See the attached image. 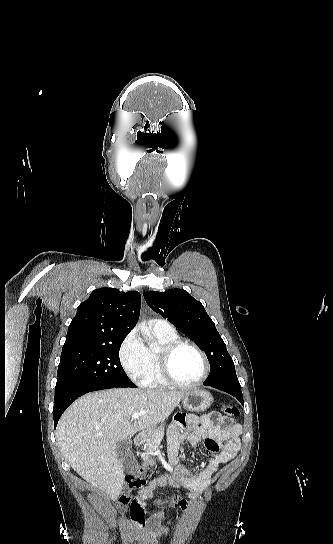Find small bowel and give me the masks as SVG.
<instances>
[{
  "label": "small bowel",
  "instance_id": "1",
  "mask_svg": "<svg viewBox=\"0 0 333 544\" xmlns=\"http://www.w3.org/2000/svg\"><path fill=\"white\" fill-rule=\"evenodd\" d=\"M225 422L228 424L225 425ZM240 428L230 419L225 418L218 412L197 417L186 415L177 418L171 425L168 432L169 463L173 468L170 475H162L139 491L131 506V518L140 531L145 530L147 500L152 496L155 489L169 483L174 488L183 487L189 492L191 499L203 492L212 482L221 464L231 461L239 450ZM188 441L192 446L204 441L207 451L213 453L208 459L206 467L199 470H188L180 468L178 456L183 443ZM189 501L173 496L166 501H158V506L177 507L186 509ZM161 511H156L159 516ZM177 527L159 532L156 536L149 535L148 539L162 542L166 536Z\"/></svg>",
  "mask_w": 333,
  "mask_h": 544
}]
</instances>
